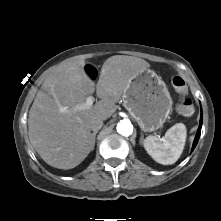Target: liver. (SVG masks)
I'll list each match as a JSON object with an SVG mask.
<instances>
[{"instance_id":"liver-1","label":"liver","mask_w":221,"mask_h":221,"mask_svg":"<svg viewBox=\"0 0 221 221\" xmlns=\"http://www.w3.org/2000/svg\"><path fill=\"white\" fill-rule=\"evenodd\" d=\"M84 67L85 61L78 60L46 78L29 111V140L40 157L58 169H72L88 156L93 148L91 121L111 117L127 85L150 64L133 56H111L97 84ZM95 91L100 101L76 109Z\"/></svg>"}]
</instances>
